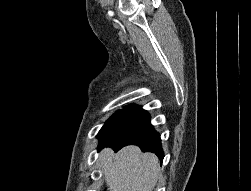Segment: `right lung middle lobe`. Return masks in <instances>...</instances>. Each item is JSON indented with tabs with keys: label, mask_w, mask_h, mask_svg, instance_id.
Returning <instances> with one entry per match:
<instances>
[{
	"label": "right lung middle lobe",
	"mask_w": 251,
	"mask_h": 191,
	"mask_svg": "<svg viewBox=\"0 0 251 191\" xmlns=\"http://www.w3.org/2000/svg\"><path fill=\"white\" fill-rule=\"evenodd\" d=\"M143 112V110L129 108L117 111L106 121L104 126L99 131L97 135V138L99 139V146L110 141L112 138L122 132Z\"/></svg>",
	"instance_id": "obj_1"
}]
</instances>
